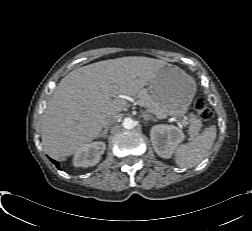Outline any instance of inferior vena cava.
<instances>
[{
    "label": "inferior vena cava",
    "mask_w": 252,
    "mask_h": 231,
    "mask_svg": "<svg viewBox=\"0 0 252 231\" xmlns=\"http://www.w3.org/2000/svg\"><path fill=\"white\" fill-rule=\"evenodd\" d=\"M118 114H112V115H109L106 120L103 122V126L105 128H107L108 126L112 125L113 123H115L118 119Z\"/></svg>",
    "instance_id": "obj_1"
}]
</instances>
